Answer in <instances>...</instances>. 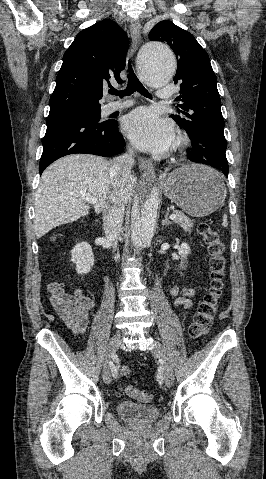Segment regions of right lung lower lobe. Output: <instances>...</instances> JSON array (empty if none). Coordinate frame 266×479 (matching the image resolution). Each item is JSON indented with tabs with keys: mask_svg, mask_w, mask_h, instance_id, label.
<instances>
[{
	"mask_svg": "<svg viewBox=\"0 0 266 479\" xmlns=\"http://www.w3.org/2000/svg\"><path fill=\"white\" fill-rule=\"evenodd\" d=\"M43 138L40 175L53 161L69 154L86 153L110 157L122 152L124 138L117 130V121L96 122L71 113H49Z\"/></svg>",
	"mask_w": 266,
	"mask_h": 479,
	"instance_id": "1",
	"label": "right lung lower lobe"
}]
</instances>
